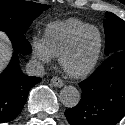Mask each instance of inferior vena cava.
<instances>
[{
    "mask_svg": "<svg viewBox=\"0 0 125 125\" xmlns=\"http://www.w3.org/2000/svg\"><path fill=\"white\" fill-rule=\"evenodd\" d=\"M26 73L29 76L42 77L44 75V67L40 62L30 60L26 65Z\"/></svg>",
    "mask_w": 125,
    "mask_h": 125,
    "instance_id": "1",
    "label": "inferior vena cava"
}]
</instances>
